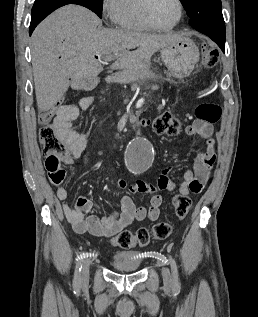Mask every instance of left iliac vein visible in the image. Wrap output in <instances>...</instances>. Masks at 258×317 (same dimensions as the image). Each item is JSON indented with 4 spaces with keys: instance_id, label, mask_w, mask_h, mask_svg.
Wrapping results in <instances>:
<instances>
[{
    "instance_id": "4c4485c4",
    "label": "left iliac vein",
    "mask_w": 258,
    "mask_h": 317,
    "mask_svg": "<svg viewBox=\"0 0 258 317\" xmlns=\"http://www.w3.org/2000/svg\"><path fill=\"white\" fill-rule=\"evenodd\" d=\"M166 270L165 271H163V277L165 278V279H168L169 277H170V273L167 271V267L165 268Z\"/></svg>"
}]
</instances>
